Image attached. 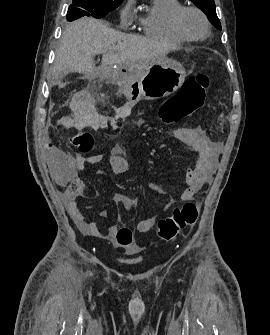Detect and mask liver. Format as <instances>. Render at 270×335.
I'll use <instances>...</instances> for the list:
<instances>
[{
  "label": "liver",
  "mask_w": 270,
  "mask_h": 335,
  "mask_svg": "<svg viewBox=\"0 0 270 335\" xmlns=\"http://www.w3.org/2000/svg\"><path fill=\"white\" fill-rule=\"evenodd\" d=\"M165 50V46L151 38L124 34L107 28L94 18H81L63 32L56 52L54 72L99 74L110 72L113 66H117V70H126L127 78L137 80L147 68L149 60L159 58L165 54ZM96 54H103L100 68H95Z\"/></svg>",
  "instance_id": "1"
}]
</instances>
